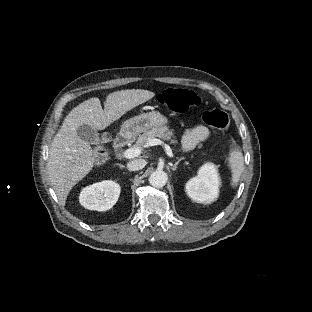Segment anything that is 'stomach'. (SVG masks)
Wrapping results in <instances>:
<instances>
[{"instance_id":"stomach-1","label":"stomach","mask_w":312,"mask_h":312,"mask_svg":"<svg viewBox=\"0 0 312 312\" xmlns=\"http://www.w3.org/2000/svg\"><path fill=\"white\" fill-rule=\"evenodd\" d=\"M169 118L159 111L141 113L133 118L126 120L120 129V134L124 138L134 139L141 132L154 127H163L169 124Z\"/></svg>"}]
</instances>
